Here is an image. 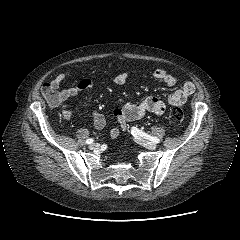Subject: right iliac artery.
<instances>
[{
  "instance_id": "right-iliac-artery-1",
  "label": "right iliac artery",
  "mask_w": 240,
  "mask_h": 240,
  "mask_svg": "<svg viewBox=\"0 0 240 240\" xmlns=\"http://www.w3.org/2000/svg\"><path fill=\"white\" fill-rule=\"evenodd\" d=\"M93 141H94V140H93L92 138H89V139L86 140V143H87V144H91V143H93Z\"/></svg>"
}]
</instances>
